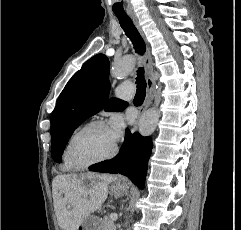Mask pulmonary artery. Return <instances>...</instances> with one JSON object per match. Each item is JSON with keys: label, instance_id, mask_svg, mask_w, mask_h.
Returning <instances> with one entry per match:
<instances>
[{"label": "pulmonary artery", "instance_id": "pulmonary-artery-1", "mask_svg": "<svg viewBox=\"0 0 241 230\" xmlns=\"http://www.w3.org/2000/svg\"><path fill=\"white\" fill-rule=\"evenodd\" d=\"M133 94H134V86L130 82L120 84L115 89V95L120 99L128 100L133 96Z\"/></svg>", "mask_w": 241, "mask_h": 230}]
</instances>
